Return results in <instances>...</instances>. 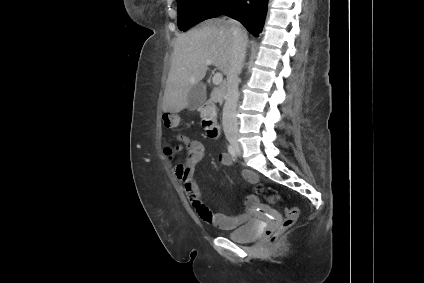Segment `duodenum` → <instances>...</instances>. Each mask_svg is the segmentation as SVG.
I'll return each mask as SVG.
<instances>
[{"instance_id": "410a0bca", "label": "duodenum", "mask_w": 424, "mask_h": 283, "mask_svg": "<svg viewBox=\"0 0 424 283\" xmlns=\"http://www.w3.org/2000/svg\"><path fill=\"white\" fill-rule=\"evenodd\" d=\"M207 135L216 139L220 135V125L216 113L209 114L203 121Z\"/></svg>"}]
</instances>
